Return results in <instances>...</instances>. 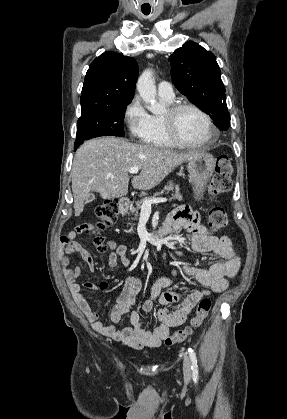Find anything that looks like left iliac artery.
Returning a JSON list of instances; mask_svg holds the SVG:
<instances>
[{
    "label": "left iliac artery",
    "mask_w": 287,
    "mask_h": 419,
    "mask_svg": "<svg viewBox=\"0 0 287 419\" xmlns=\"http://www.w3.org/2000/svg\"><path fill=\"white\" fill-rule=\"evenodd\" d=\"M190 360H191V369H192V376L193 379L196 381L198 379V365H197V357L192 348L188 349Z\"/></svg>",
    "instance_id": "left-iliac-artery-1"
}]
</instances>
